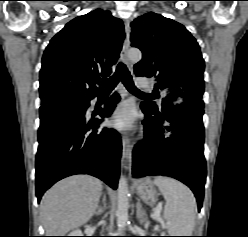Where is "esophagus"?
Masks as SVG:
<instances>
[{
  "label": "esophagus",
  "instance_id": "1",
  "mask_svg": "<svg viewBox=\"0 0 248 237\" xmlns=\"http://www.w3.org/2000/svg\"><path fill=\"white\" fill-rule=\"evenodd\" d=\"M130 35H131V26L130 20L125 21V41L120 53L121 60L126 64L129 65V60L127 57V52L130 46ZM132 149L133 145L130 139L123 135L122 137V162L127 169H131V162H132Z\"/></svg>",
  "mask_w": 248,
  "mask_h": 237
}]
</instances>
